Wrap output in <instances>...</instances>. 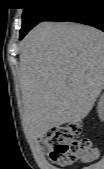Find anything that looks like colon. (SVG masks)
Instances as JSON below:
<instances>
[{
  "mask_svg": "<svg viewBox=\"0 0 104 169\" xmlns=\"http://www.w3.org/2000/svg\"><path fill=\"white\" fill-rule=\"evenodd\" d=\"M80 122H71L52 128L43 138V149L49 160L66 167L77 162H89L98 157L96 148L88 138H79Z\"/></svg>",
  "mask_w": 104,
  "mask_h": 169,
  "instance_id": "1",
  "label": "colon"
}]
</instances>
